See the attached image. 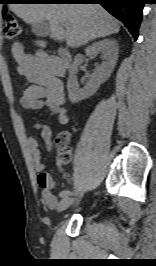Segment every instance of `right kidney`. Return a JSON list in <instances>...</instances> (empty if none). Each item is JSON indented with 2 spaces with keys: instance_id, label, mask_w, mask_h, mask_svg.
<instances>
[{
  "instance_id": "1",
  "label": "right kidney",
  "mask_w": 156,
  "mask_h": 266,
  "mask_svg": "<svg viewBox=\"0 0 156 266\" xmlns=\"http://www.w3.org/2000/svg\"><path fill=\"white\" fill-rule=\"evenodd\" d=\"M118 43L114 39H103L89 45L85 49V55L93 58L101 53L103 62L97 66L92 74L90 81L79 89L74 74L77 73L79 65L83 62L84 56L77 54L69 68V78L67 82L68 97L72 103L91 97L111 75L118 59Z\"/></svg>"
}]
</instances>
